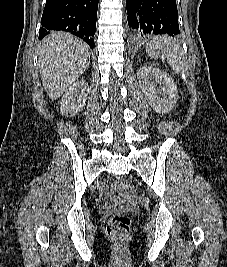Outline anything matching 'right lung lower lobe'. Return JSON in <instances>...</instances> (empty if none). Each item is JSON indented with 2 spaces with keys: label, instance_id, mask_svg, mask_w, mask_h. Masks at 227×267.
<instances>
[{
  "label": "right lung lower lobe",
  "instance_id": "98d812e1",
  "mask_svg": "<svg viewBox=\"0 0 227 267\" xmlns=\"http://www.w3.org/2000/svg\"><path fill=\"white\" fill-rule=\"evenodd\" d=\"M98 0H46L39 39L51 30L70 32L94 48Z\"/></svg>",
  "mask_w": 227,
  "mask_h": 267
}]
</instances>
